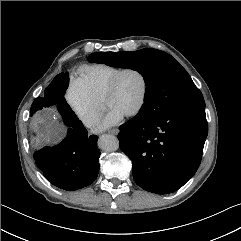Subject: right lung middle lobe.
Segmentation results:
<instances>
[{
    "instance_id": "obj_1",
    "label": "right lung middle lobe",
    "mask_w": 241,
    "mask_h": 241,
    "mask_svg": "<svg viewBox=\"0 0 241 241\" xmlns=\"http://www.w3.org/2000/svg\"><path fill=\"white\" fill-rule=\"evenodd\" d=\"M69 77L68 73L58 74L51 84L45 89L44 97H37L30 109V115L32 116L38 110L42 108H47L49 106H54L58 109L61 114L65 124L81 125L82 122L78 120L75 113L72 111L70 106L67 104L64 94L68 88Z\"/></svg>"
}]
</instances>
